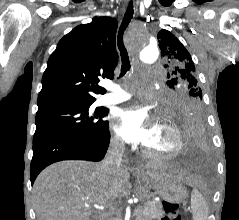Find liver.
<instances>
[{
    "instance_id": "1",
    "label": "liver",
    "mask_w": 239,
    "mask_h": 220,
    "mask_svg": "<svg viewBox=\"0 0 239 220\" xmlns=\"http://www.w3.org/2000/svg\"><path fill=\"white\" fill-rule=\"evenodd\" d=\"M151 179L163 175L147 171ZM191 185V177L182 171L169 175ZM129 180L126 166L105 171L101 163L68 160L54 163L44 169L33 186L37 220H90L91 204L113 207L115 200L125 192Z\"/></svg>"
}]
</instances>
